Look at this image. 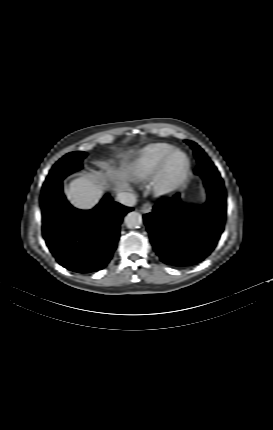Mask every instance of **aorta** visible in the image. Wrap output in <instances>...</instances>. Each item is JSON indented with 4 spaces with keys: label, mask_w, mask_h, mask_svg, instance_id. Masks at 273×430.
Here are the masks:
<instances>
[{
    "label": "aorta",
    "mask_w": 273,
    "mask_h": 430,
    "mask_svg": "<svg viewBox=\"0 0 273 430\" xmlns=\"http://www.w3.org/2000/svg\"><path fill=\"white\" fill-rule=\"evenodd\" d=\"M143 222L142 215L136 211H132L125 217V224L127 228H138Z\"/></svg>",
    "instance_id": "1"
}]
</instances>
